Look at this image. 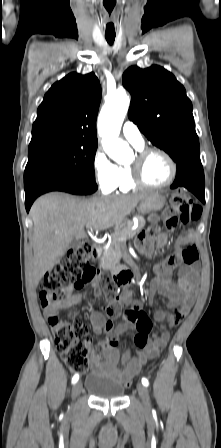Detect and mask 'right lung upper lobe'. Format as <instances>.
I'll use <instances>...</instances> for the list:
<instances>
[{
	"label": "right lung upper lobe",
	"mask_w": 221,
	"mask_h": 448,
	"mask_svg": "<svg viewBox=\"0 0 221 448\" xmlns=\"http://www.w3.org/2000/svg\"><path fill=\"white\" fill-rule=\"evenodd\" d=\"M101 86L94 73H70L54 83L37 110L29 148L67 140H97Z\"/></svg>",
	"instance_id": "cb5924a9"
}]
</instances>
